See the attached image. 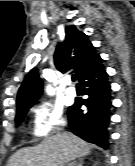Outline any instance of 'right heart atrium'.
<instances>
[{
    "instance_id": "right-heart-atrium-1",
    "label": "right heart atrium",
    "mask_w": 135,
    "mask_h": 166,
    "mask_svg": "<svg viewBox=\"0 0 135 166\" xmlns=\"http://www.w3.org/2000/svg\"><path fill=\"white\" fill-rule=\"evenodd\" d=\"M65 123L64 112L50 102H40L33 108V135L45 138Z\"/></svg>"
}]
</instances>
